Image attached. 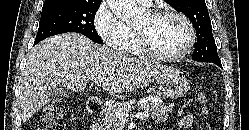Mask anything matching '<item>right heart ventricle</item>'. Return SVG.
Instances as JSON below:
<instances>
[{
    "label": "right heart ventricle",
    "mask_w": 249,
    "mask_h": 130,
    "mask_svg": "<svg viewBox=\"0 0 249 130\" xmlns=\"http://www.w3.org/2000/svg\"><path fill=\"white\" fill-rule=\"evenodd\" d=\"M130 40L128 42L126 52L132 54V55H140L142 53L137 33L134 29L130 28Z\"/></svg>",
    "instance_id": "1"
}]
</instances>
